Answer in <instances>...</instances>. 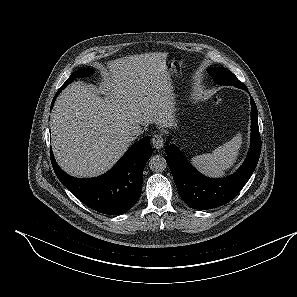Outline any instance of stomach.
I'll use <instances>...</instances> for the list:
<instances>
[{
    "label": "stomach",
    "instance_id": "0dacf381",
    "mask_svg": "<svg viewBox=\"0 0 297 297\" xmlns=\"http://www.w3.org/2000/svg\"><path fill=\"white\" fill-rule=\"evenodd\" d=\"M167 71L169 72L170 77L174 74H177L182 67V61L176 60L174 58L166 60Z\"/></svg>",
    "mask_w": 297,
    "mask_h": 297
}]
</instances>
